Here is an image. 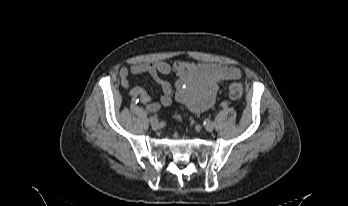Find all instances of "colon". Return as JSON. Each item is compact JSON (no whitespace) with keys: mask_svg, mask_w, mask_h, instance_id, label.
<instances>
[{"mask_svg":"<svg viewBox=\"0 0 348 206\" xmlns=\"http://www.w3.org/2000/svg\"><path fill=\"white\" fill-rule=\"evenodd\" d=\"M228 94L232 100H240L243 95V87L238 82H233L228 86Z\"/></svg>","mask_w":348,"mask_h":206,"instance_id":"colon-1","label":"colon"}]
</instances>
